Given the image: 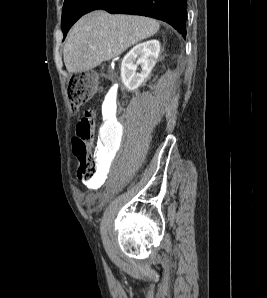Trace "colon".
I'll return each instance as SVG.
<instances>
[{
  "label": "colon",
  "mask_w": 267,
  "mask_h": 298,
  "mask_svg": "<svg viewBox=\"0 0 267 298\" xmlns=\"http://www.w3.org/2000/svg\"><path fill=\"white\" fill-rule=\"evenodd\" d=\"M99 89L98 76L92 72L74 74L67 86V96L73 111L88 102ZM95 127V113L87 111L77 124L76 136L72 139L73 154L78 161V175L83 181L96 179L98 158L90 154L88 143L93 138Z\"/></svg>",
  "instance_id": "1"
}]
</instances>
